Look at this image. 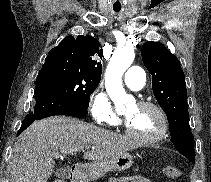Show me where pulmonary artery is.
<instances>
[{"instance_id":"1","label":"pulmonary artery","mask_w":211,"mask_h":182,"mask_svg":"<svg viewBox=\"0 0 211 182\" xmlns=\"http://www.w3.org/2000/svg\"><path fill=\"white\" fill-rule=\"evenodd\" d=\"M124 81L130 89L138 91L144 86L145 72L138 66H132L126 71Z\"/></svg>"}]
</instances>
